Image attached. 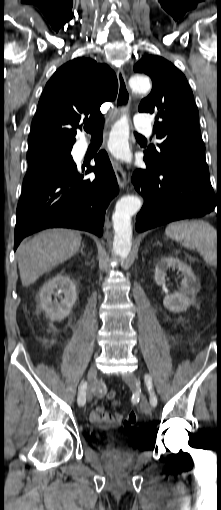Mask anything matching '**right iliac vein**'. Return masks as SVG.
Masks as SVG:
<instances>
[{"instance_id": "1", "label": "right iliac vein", "mask_w": 221, "mask_h": 510, "mask_svg": "<svg viewBox=\"0 0 221 510\" xmlns=\"http://www.w3.org/2000/svg\"><path fill=\"white\" fill-rule=\"evenodd\" d=\"M97 369L95 365H92L88 371L87 379H88V390H87V399L91 401L93 397L97 394Z\"/></svg>"}]
</instances>
